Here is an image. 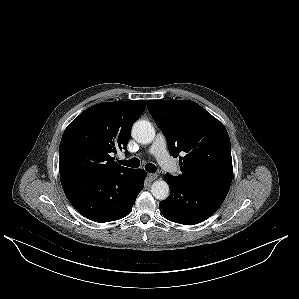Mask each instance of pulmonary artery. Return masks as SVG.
Returning <instances> with one entry per match:
<instances>
[{"mask_svg": "<svg viewBox=\"0 0 299 299\" xmlns=\"http://www.w3.org/2000/svg\"><path fill=\"white\" fill-rule=\"evenodd\" d=\"M148 152L156 157L159 164L168 172H175L178 169L175 161L167 152L166 139L163 134L158 133L148 149Z\"/></svg>", "mask_w": 299, "mask_h": 299, "instance_id": "e3ab8cb5", "label": "pulmonary artery"}]
</instances>
